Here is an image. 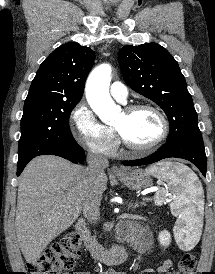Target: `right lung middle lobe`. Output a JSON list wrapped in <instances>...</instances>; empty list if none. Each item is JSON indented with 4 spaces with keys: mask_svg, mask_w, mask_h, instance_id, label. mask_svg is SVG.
Here are the masks:
<instances>
[{
    "mask_svg": "<svg viewBox=\"0 0 215 274\" xmlns=\"http://www.w3.org/2000/svg\"><path fill=\"white\" fill-rule=\"evenodd\" d=\"M76 105L66 101L25 102L18 162L28 161L53 147L77 143L69 127V117Z\"/></svg>",
    "mask_w": 215,
    "mask_h": 274,
    "instance_id": "obj_1",
    "label": "right lung middle lobe"
}]
</instances>
